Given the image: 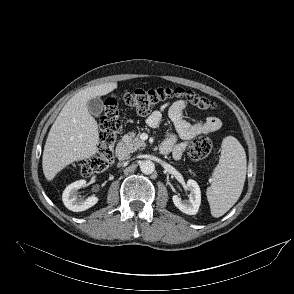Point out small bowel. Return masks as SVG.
<instances>
[{"mask_svg": "<svg viewBox=\"0 0 294 294\" xmlns=\"http://www.w3.org/2000/svg\"><path fill=\"white\" fill-rule=\"evenodd\" d=\"M186 103L177 100L169 105L163 106L161 110L154 111L148 118L147 124L157 128L161 124L163 113L167 111L173 122L176 134H169L162 145L166 148L163 153H172L174 159L179 160L186 150L189 141L199 135L209 134L219 130L222 122L217 117H208L204 121L191 124L185 117ZM178 137L182 142H178Z\"/></svg>", "mask_w": 294, "mask_h": 294, "instance_id": "small-bowel-1", "label": "small bowel"}]
</instances>
